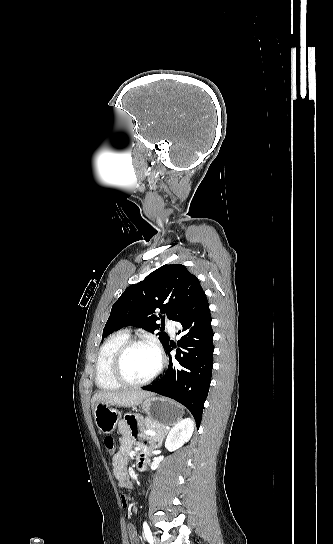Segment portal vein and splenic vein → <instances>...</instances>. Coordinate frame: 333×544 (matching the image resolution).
Masks as SVG:
<instances>
[{"mask_svg":"<svg viewBox=\"0 0 333 544\" xmlns=\"http://www.w3.org/2000/svg\"><path fill=\"white\" fill-rule=\"evenodd\" d=\"M145 434L152 435V436L157 435L154 431H151V430H146Z\"/></svg>","mask_w":333,"mask_h":544,"instance_id":"18ae733b","label":"portal vein and splenic vein"}]
</instances>
